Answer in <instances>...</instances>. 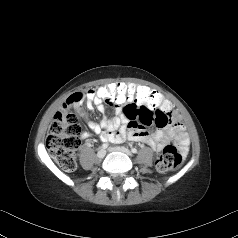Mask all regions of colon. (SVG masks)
<instances>
[{
    "instance_id": "5ec220e1",
    "label": "colon",
    "mask_w": 238,
    "mask_h": 238,
    "mask_svg": "<svg viewBox=\"0 0 238 238\" xmlns=\"http://www.w3.org/2000/svg\"><path fill=\"white\" fill-rule=\"evenodd\" d=\"M95 93L99 94L102 103H128L133 106H145L140 112V120L153 124L152 113L149 108H160L165 100L156 90L148 85L133 83L110 82L103 86H96ZM82 93H76L68 98L63 111L58 112L50 126L46 145L51 157L65 171L72 172L77 167L76 150L79 146L81 127L77 116L69 110L74 103L81 101ZM182 161V156L175 144L167 145L156 161V168L160 172H167L176 168Z\"/></svg>"
}]
</instances>
